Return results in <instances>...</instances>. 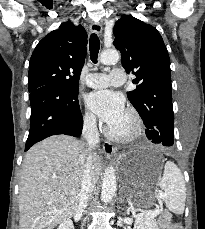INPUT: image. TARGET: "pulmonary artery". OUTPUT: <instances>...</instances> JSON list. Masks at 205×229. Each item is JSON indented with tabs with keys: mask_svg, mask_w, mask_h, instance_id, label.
<instances>
[{
	"mask_svg": "<svg viewBox=\"0 0 205 229\" xmlns=\"http://www.w3.org/2000/svg\"><path fill=\"white\" fill-rule=\"evenodd\" d=\"M125 71L113 68L109 75L104 73H90L86 77V84L91 88H103L108 85H122L125 83Z\"/></svg>",
	"mask_w": 205,
	"mask_h": 229,
	"instance_id": "pulmonary-artery-1",
	"label": "pulmonary artery"
}]
</instances>
